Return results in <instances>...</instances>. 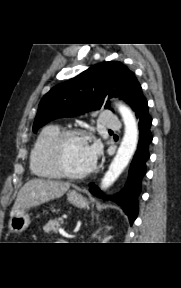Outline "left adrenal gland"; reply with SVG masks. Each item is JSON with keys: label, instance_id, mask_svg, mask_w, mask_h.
<instances>
[{"label": "left adrenal gland", "instance_id": "a2214340", "mask_svg": "<svg viewBox=\"0 0 181 288\" xmlns=\"http://www.w3.org/2000/svg\"><path fill=\"white\" fill-rule=\"evenodd\" d=\"M112 229V227H109V226H106V231H110ZM102 229H99L94 235H93V238H98V240H101V237L100 236H97L99 234V232L101 231ZM108 237H105L104 240L108 239Z\"/></svg>", "mask_w": 181, "mask_h": 288}]
</instances>
